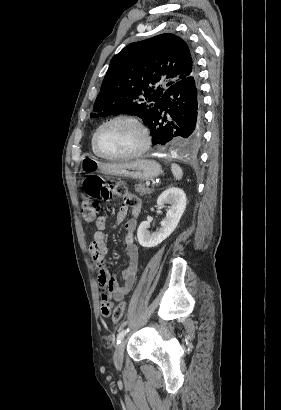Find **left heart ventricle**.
Masks as SVG:
<instances>
[{
  "label": "left heart ventricle",
  "mask_w": 281,
  "mask_h": 410,
  "mask_svg": "<svg viewBox=\"0 0 281 410\" xmlns=\"http://www.w3.org/2000/svg\"><path fill=\"white\" fill-rule=\"evenodd\" d=\"M143 142L140 130L131 122L117 121L102 129L100 148L110 155H124L136 151Z\"/></svg>",
  "instance_id": "b2bd125f"
}]
</instances>
